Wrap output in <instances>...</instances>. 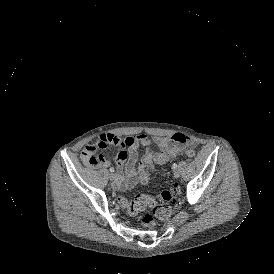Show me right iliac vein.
<instances>
[{
    "mask_svg": "<svg viewBox=\"0 0 274 274\" xmlns=\"http://www.w3.org/2000/svg\"><path fill=\"white\" fill-rule=\"evenodd\" d=\"M109 179L112 181L113 185H116V177L115 174L111 173L109 175Z\"/></svg>",
    "mask_w": 274,
    "mask_h": 274,
    "instance_id": "obj_1",
    "label": "right iliac vein"
}]
</instances>
